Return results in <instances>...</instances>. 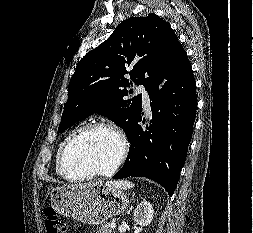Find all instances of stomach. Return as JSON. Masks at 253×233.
<instances>
[{
  "label": "stomach",
  "mask_w": 253,
  "mask_h": 233,
  "mask_svg": "<svg viewBox=\"0 0 253 233\" xmlns=\"http://www.w3.org/2000/svg\"><path fill=\"white\" fill-rule=\"evenodd\" d=\"M50 202L59 214L88 225L102 224L122 214L129 205L121 188L101 183L53 188Z\"/></svg>",
  "instance_id": "1"
}]
</instances>
